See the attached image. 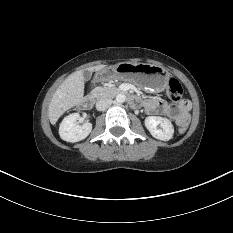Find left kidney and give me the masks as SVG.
Wrapping results in <instances>:
<instances>
[{"mask_svg": "<svg viewBox=\"0 0 233 233\" xmlns=\"http://www.w3.org/2000/svg\"><path fill=\"white\" fill-rule=\"evenodd\" d=\"M145 126L151 135L159 140L168 141L173 137L174 128L171 121L159 116H148L145 118ZM160 125L161 129L157 126Z\"/></svg>", "mask_w": 233, "mask_h": 233, "instance_id": "left-kidney-1", "label": "left kidney"}]
</instances>
